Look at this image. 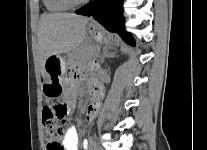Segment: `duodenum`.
<instances>
[{
    "label": "duodenum",
    "instance_id": "obj_1",
    "mask_svg": "<svg viewBox=\"0 0 207 150\" xmlns=\"http://www.w3.org/2000/svg\"><path fill=\"white\" fill-rule=\"evenodd\" d=\"M99 86L97 83H92L91 85V92H92V99H93V102L94 103L96 100H97V97H98V93H99Z\"/></svg>",
    "mask_w": 207,
    "mask_h": 150
}]
</instances>
